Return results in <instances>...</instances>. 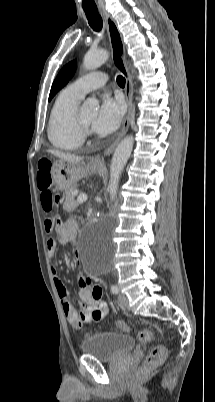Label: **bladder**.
Returning a JSON list of instances; mask_svg holds the SVG:
<instances>
[{
    "label": "bladder",
    "mask_w": 215,
    "mask_h": 402,
    "mask_svg": "<svg viewBox=\"0 0 215 402\" xmlns=\"http://www.w3.org/2000/svg\"><path fill=\"white\" fill-rule=\"evenodd\" d=\"M135 347L133 337L113 332H101L88 336L81 343V350L100 361L112 362L120 359Z\"/></svg>",
    "instance_id": "31cf9c89"
}]
</instances>
